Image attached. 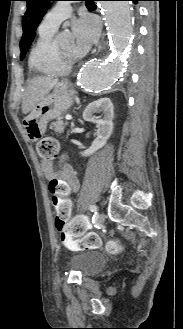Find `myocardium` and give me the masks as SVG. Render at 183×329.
<instances>
[{"label": "myocardium", "instance_id": "1", "mask_svg": "<svg viewBox=\"0 0 183 329\" xmlns=\"http://www.w3.org/2000/svg\"><path fill=\"white\" fill-rule=\"evenodd\" d=\"M84 59V55L79 53L75 58L69 59L65 54L57 49V63L63 73H68L78 66Z\"/></svg>", "mask_w": 183, "mask_h": 329}]
</instances>
